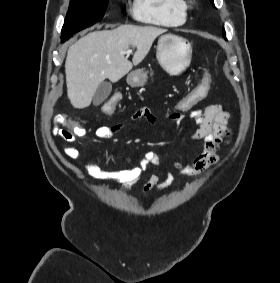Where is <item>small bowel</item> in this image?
Listing matches in <instances>:
<instances>
[{
    "instance_id": "obj_1",
    "label": "small bowel",
    "mask_w": 280,
    "mask_h": 283,
    "mask_svg": "<svg viewBox=\"0 0 280 283\" xmlns=\"http://www.w3.org/2000/svg\"><path fill=\"white\" fill-rule=\"evenodd\" d=\"M185 114L197 124V129L192 133L191 139L203 141L202 151L188 163L175 162L174 168L186 176H197L203 173L221 159L219 149L222 144L228 143L232 119L228 111L222 109L218 104H211L204 110L191 108L190 112H166L161 117L152 113L148 108H140L130 117L129 122L140 120L147 121L150 125L159 127L165 121H172L176 124L184 120ZM127 126L126 122L117 123L112 126H100L95 130V136L100 140H111L116 134ZM66 155L71 159H77L80 152L77 147L70 146ZM161 163L159 155L154 151H148L143 155L139 164L133 168L121 170H104L90 158L85 159V166L88 173L98 179H112L120 182L125 190L130 189L144 175L150 166H157ZM173 180V174L168 171L164 178L158 174H152L144 184L143 191L149 194L153 190H162Z\"/></svg>"
}]
</instances>
